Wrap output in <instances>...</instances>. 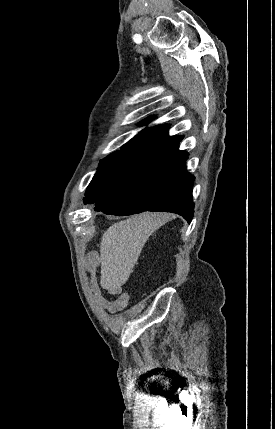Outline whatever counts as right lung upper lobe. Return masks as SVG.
I'll return each instance as SVG.
<instances>
[{
	"label": "right lung upper lobe",
	"mask_w": 275,
	"mask_h": 429,
	"mask_svg": "<svg viewBox=\"0 0 275 429\" xmlns=\"http://www.w3.org/2000/svg\"><path fill=\"white\" fill-rule=\"evenodd\" d=\"M153 117L146 118L142 123H148ZM182 136H168V129L157 126L146 128L122 146L120 152L139 157L153 159L169 148L177 145Z\"/></svg>",
	"instance_id": "cb5924a9"
}]
</instances>
